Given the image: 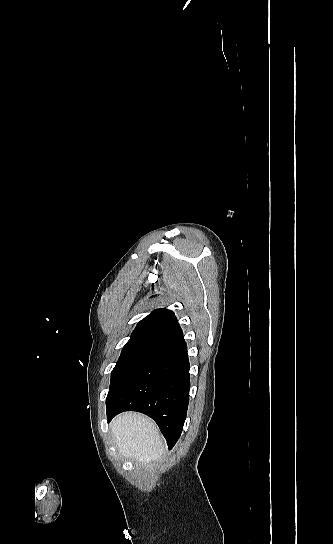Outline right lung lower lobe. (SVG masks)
Wrapping results in <instances>:
<instances>
[{
	"mask_svg": "<svg viewBox=\"0 0 333 544\" xmlns=\"http://www.w3.org/2000/svg\"><path fill=\"white\" fill-rule=\"evenodd\" d=\"M182 336L157 345L107 405V421L123 411L151 417L169 449L179 439L189 403L190 374Z\"/></svg>",
	"mask_w": 333,
	"mask_h": 544,
	"instance_id": "obj_1",
	"label": "right lung lower lobe"
}]
</instances>
